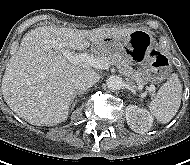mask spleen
Returning <instances> with one entry per match:
<instances>
[{
    "label": "spleen",
    "mask_w": 190,
    "mask_h": 165,
    "mask_svg": "<svg viewBox=\"0 0 190 165\" xmlns=\"http://www.w3.org/2000/svg\"><path fill=\"white\" fill-rule=\"evenodd\" d=\"M182 85L176 74L170 76L158 90L156 97L150 102L149 110L163 124L173 119L181 103Z\"/></svg>",
    "instance_id": "obj_1"
}]
</instances>
